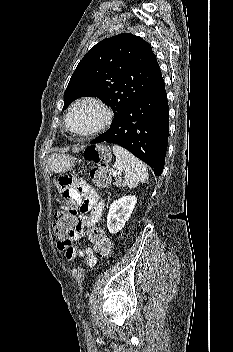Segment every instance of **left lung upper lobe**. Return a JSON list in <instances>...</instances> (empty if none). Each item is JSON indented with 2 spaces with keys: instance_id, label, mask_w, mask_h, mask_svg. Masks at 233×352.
<instances>
[{
  "instance_id": "obj_1",
  "label": "left lung upper lobe",
  "mask_w": 233,
  "mask_h": 352,
  "mask_svg": "<svg viewBox=\"0 0 233 352\" xmlns=\"http://www.w3.org/2000/svg\"><path fill=\"white\" fill-rule=\"evenodd\" d=\"M161 78L156 56L141 37L123 33L106 38L79 62L64 92L63 110L80 97H98L112 108L114 122Z\"/></svg>"
}]
</instances>
